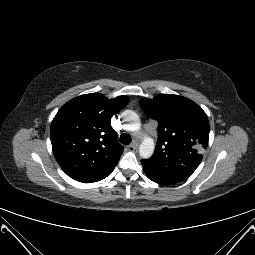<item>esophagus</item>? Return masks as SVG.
<instances>
[{"label": "esophagus", "instance_id": "1", "mask_svg": "<svg viewBox=\"0 0 255 255\" xmlns=\"http://www.w3.org/2000/svg\"><path fill=\"white\" fill-rule=\"evenodd\" d=\"M127 149H128L129 151H131V152H136L137 149H138V144L133 143V144H131V145H128V146H127Z\"/></svg>", "mask_w": 255, "mask_h": 255}]
</instances>
